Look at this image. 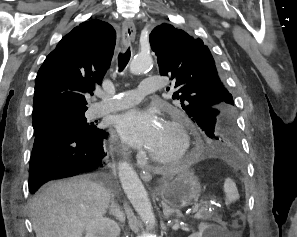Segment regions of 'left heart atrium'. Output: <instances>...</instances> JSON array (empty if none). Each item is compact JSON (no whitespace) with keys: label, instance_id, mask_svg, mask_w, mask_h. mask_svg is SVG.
<instances>
[{"label":"left heart atrium","instance_id":"obj_1","mask_svg":"<svg viewBox=\"0 0 297 237\" xmlns=\"http://www.w3.org/2000/svg\"><path fill=\"white\" fill-rule=\"evenodd\" d=\"M162 125L157 114L150 109H131L115 119L117 133L127 143L148 151L155 145Z\"/></svg>","mask_w":297,"mask_h":237}]
</instances>
